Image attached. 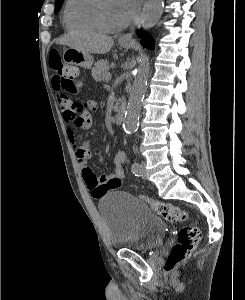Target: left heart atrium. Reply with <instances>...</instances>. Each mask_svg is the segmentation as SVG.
<instances>
[{
    "label": "left heart atrium",
    "mask_w": 245,
    "mask_h": 300,
    "mask_svg": "<svg viewBox=\"0 0 245 300\" xmlns=\"http://www.w3.org/2000/svg\"><path fill=\"white\" fill-rule=\"evenodd\" d=\"M127 8L130 17L136 14L140 0H122Z\"/></svg>",
    "instance_id": "1"
}]
</instances>
